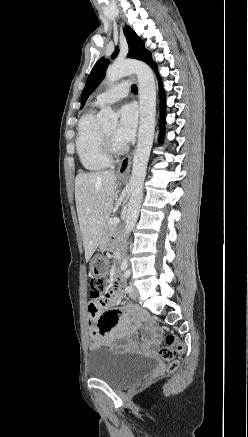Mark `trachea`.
<instances>
[{
	"mask_svg": "<svg viewBox=\"0 0 248 437\" xmlns=\"http://www.w3.org/2000/svg\"><path fill=\"white\" fill-rule=\"evenodd\" d=\"M132 92L133 93H137L138 92L137 85H135V84L132 85Z\"/></svg>",
	"mask_w": 248,
	"mask_h": 437,
	"instance_id": "trachea-1",
	"label": "trachea"
}]
</instances>
